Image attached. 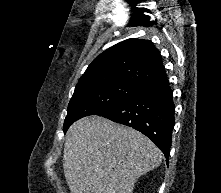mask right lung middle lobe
<instances>
[{
	"label": "right lung middle lobe",
	"instance_id": "dd1d6c3e",
	"mask_svg": "<svg viewBox=\"0 0 221 193\" xmlns=\"http://www.w3.org/2000/svg\"><path fill=\"white\" fill-rule=\"evenodd\" d=\"M142 85L118 82L75 90L69 102L63 131L66 133L76 120L89 115H98L134 97Z\"/></svg>",
	"mask_w": 221,
	"mask_h": 193
}]
</instances>
